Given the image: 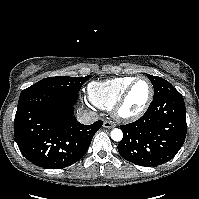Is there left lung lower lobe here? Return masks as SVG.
I'll list each match as a JSON object with an SVG mask.
<instances>
[{"instance_id": "0a47b994", "label": "left lung lower lobe", "mask_w": 199, "mask_h": 199, "mask_svg": "<svg viewBox=\"0 0 199 199\" xmlns=\"http://www.w3.org/2000/svg\"><path fill=\"white\" fill-rule=\"evenodd\" d=\"M120 155L134 164L158 166L171 160L182 147L187 127L182 95L177 92L154 99L137 121L121 125Z\"/></svg>"}]
</instances>
